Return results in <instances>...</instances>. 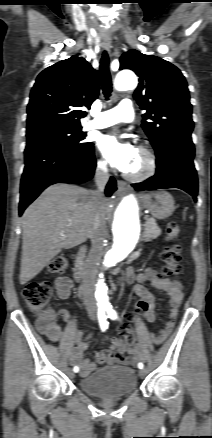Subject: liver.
<instances>
[{"label":"liver","mask_w":212,"mask_h":438,"mask_svg":"<svg viewBox=\"0 0 212 438\" xmlns=\"http://www.w3.org/2000/svg\"><path fill=\"white\" fill-rule=\"evenodd\" d=\"M95 211L93 191L72 184L49 186L22 217L20 284L33 279L62 249L90 237ZM106 211L104 201V215Z\"/></svg>","instance_id":"6515ba94"}]
</instances>
